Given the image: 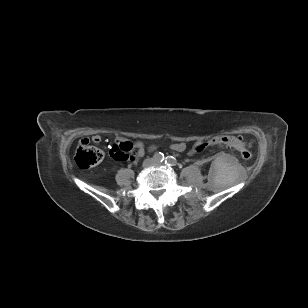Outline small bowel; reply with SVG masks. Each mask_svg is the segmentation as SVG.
Instances as JSON below:
<instances>
[{
  "label": "small bowel",
  "instance_id": "c3829d8e",
  "mask_svg": "<svg viewBox=\"0 0 308 308\" xmlns=\"http://www.w3.org/2000/svg\"><path fill=\"white\" fill-rule=\"evenodd\" d=\"M83 139L89 140L88 138H83ZM101 140L102 139H101L100 135H93L92 138H91V141L95 144H99L101 142ZM119 142L129 143L131 145L132 150L136 149V153L133 155L132 161H135L137 158L142 157L145 153V147H144L143 142H141V141H135V142L131 143V142H128V141L120 140ZM200 144H202V142H200V141L195 142L193 144V146L188 150V154L192 155V154L196 153L197 152L196 149ZM154 148H155L154 146H150L148 149L153 150ZM170 148L173 151H176V152H183V151L186 150L187 146L184 142H175V143H172L170 145Z\"/></svg>",
  "mask_w": 308,
  "mask_h": 308
}]
</instances>
